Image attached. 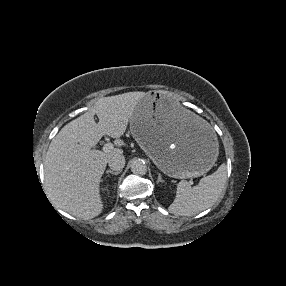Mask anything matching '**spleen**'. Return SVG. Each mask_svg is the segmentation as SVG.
Masks as SVG:
<instances>
[{
  "label": "spleen",
  "mask_w": 286,
  "mask_h": 286,
  "mask_svg": "<svg viewBox=\"0 0 286 286\" xmlns=\"http://www.w3.org/2000/svg\"><path fill=\"white\" fill-rule=\"evenodd\" d=\"M226 165L222 164L213 174L203 177L198 185L191 187L181 180L177 185L176 197L169 206L175 215L191 216L211 207L220 197L226 182Z\"/></svg>",
  "instance_id": "1"
}]
</instances>
